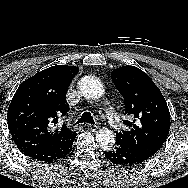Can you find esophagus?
<instances>
[{"label":"esophagus","instance_id":"esophagus-1","mask_svg":"<svg viewBox=\"0 0 188 188\" xmlns=\"http://www.w3.org/2000/svg\"><path fill=\"white\" fill-rule=\"evenodd\" d=\"M99 124L98 122H94L93 124L89 123L87 126L88 127H94V128H98L99 127Z\"/></svg>","mask_w":188,"mask_h":188}]
</instances>
